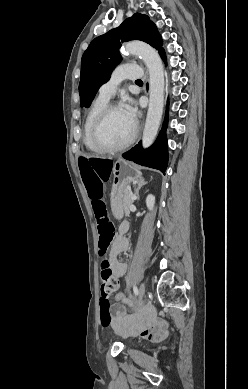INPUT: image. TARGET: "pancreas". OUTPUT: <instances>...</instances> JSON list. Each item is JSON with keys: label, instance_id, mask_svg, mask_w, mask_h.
Segmentation results:
<instances>
[{"label": "pancreas", "instance_id": "obj_1", "mask_svg": "<svg viewBox=\"0 0 248 389\" xmlns=\"http://www.w3.org/2000/svg\"><path fill=\"white\" fill-rule=\"evenodd\" d=\"M122 191H123V207H124L125 214L127 215L129 214L128 206L133 202V200L131 199L132 194L129 192L127 187H124Z\"/></svg>", "mask_w": 248, "mask_h": 389}]
</instances>
